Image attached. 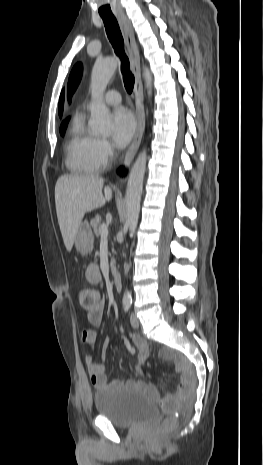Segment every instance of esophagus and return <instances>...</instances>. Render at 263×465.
Wrapping results in <instances>:
<instances>
[{
	"instance_id": "1",
	"label": "esophagus",
	"mask_w": 263,
	"mask_h": 465,
	"mask_svg": "<svg viewBox=\"0 0 263 465\" xmlns=\"http://www.w3.org/2000/svg\"><path fill=\"white\" fill-rule=\"evenodd\" d=\"M121 31L125 40V44L131 59L132 69L135 76V84H134V95L136 101V120H137V127L136 132L133 138V141L126 152L124 158V164L129 165L142 140L144 128H145V115L144 109L142 104V96H143V87H142V79H141V70H140V55L139 50L136 45L134 30L130 20L124 14H119L117 16Z\"/></svg>"
}]
</instances>
